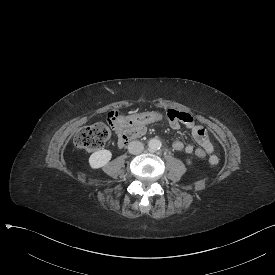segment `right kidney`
I'll return each mask as SVG.
<instances>
[{
    "label": "right kidney",
    "mask_w": 275,
    "mask_h": 275,
    "mask_svg": "<svg viewBox=\"0 0 275 275\" xmlns=\"http://www.w3.org/2000/svg\"><path fill=\"white\" fill-rule=\"evenodd\" d=\"M112 158L110 150H98L89 157V166L91 169H100L106 166Z\"/></svg>",
    "instance_id": "obj_1"
}]
</instances>
